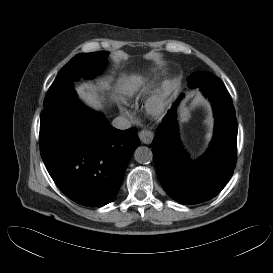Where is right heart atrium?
Here are the masks:
<instances>
[{
  "instance_id": "d8ad5b80",
  "label": "right heart atrium",
  "mask_w": 273,
  "mask_h": 273,
  "mask_svg": "<svg viewBox=\"0 0 273 273\" xmlns=\"http://www.w3.org/2000/svg\"><path fill=\"white\" fill-rule=\"evenodd\" d=\"M122 111H123V113H125V114H130V111H128V110L123 109Z\"/></svg>"
}]
</instances>
